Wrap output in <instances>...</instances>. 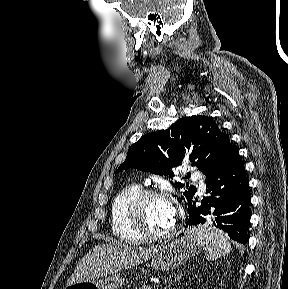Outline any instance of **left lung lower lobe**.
I'll return each mask as SVG.
<instances>
[{"instance_id":"0a47b994","label":"left lung lower lobe","mask_w":288,"mask_h":289,"mask_svg":"<svg viewBox=\"0 0 288 289\" xmlns=\"http://www.w3.org/2000/svg\"><path fill=\"white\" fill-rule=\"evenodd\" d=\"M208 194L197 206V200L188 205L187 225L213 224L233 240L246 244L250 219L249 184L244 165L237 150L229 141L218 162L208 172Z\"/></svg>"}]
</instances>
